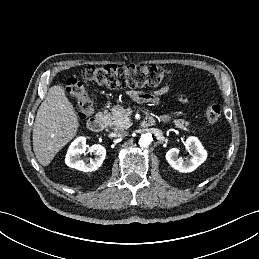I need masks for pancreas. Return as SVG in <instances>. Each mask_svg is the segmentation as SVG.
<instances>
[{
	"mask_svg": "<svg viewBox=\"0 0 259 259\" xmlns=\"http://www.w3.org/2000/svg\"><path fill=\"white\" fill-rule=\"evenodd\" d=\"M108 123L117 129H128L131 126L130 119L128 117L127 111L123 106H115L112 108L111 112L107 114ZM174 125L176 128L189 131L188 126L190 122L183 119L174 120Z\"/></svg>",
	"mask_w": 259,
	"mask_h": 259,
	"instance_id": "1",
	"label": "pancreas"
}]
</instances>
